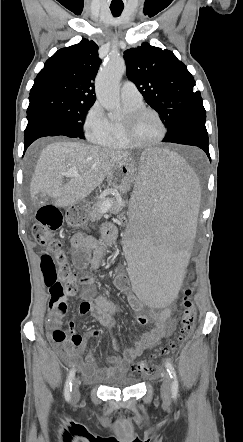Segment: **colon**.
I'll use <instances>...</instances> for the list:
<instances>
[{
	"label": "colon",
	"instance_id": "1",
	"mask_svg": "<svg viewBox=\"0 0 243 442\" xmlns=\"http://www.w3.org/2000/svg\"><path fill=\"white\" fill-rule=\"evenodd\" d=\"M117 222H126V213L116 214ZM63 223L62 213L58 208L50 203L45 204L37 213V223L34 225L32 233L35 241L44 246L47 250L41 257V270L46 287L51 296V307L67 305L70 297L74 296L83 280L77 279L74 274L62 244L56 236V232ZM188 278L194 277L193 271L187 272ZM190 283V280H187ZM193 289L189 288L181 292L183 298L181 302L182 314L179 318V331L176 339L169 345L163 347L159 355L166 356L173 353L184 335L190 330L196 317V307L193 300ZM54 341H64L67 339L65 332L57 330L53 333ZM155 356L142 359L132 366V371L137 374H148L155 370Z\"/></svg>",
	"mask_w": 243,
	"mask_h": 442
}]
</instances>
